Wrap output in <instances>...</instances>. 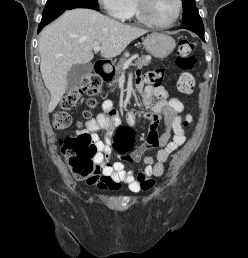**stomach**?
I'll return each instance as SVG.
<instances>
[{"mask_svg":"<svg viewBox=\"0 0 248 258\" xmlns=\"http://www.w3.org/2000/svg\"><path fill=\"white\" fill-rule=\"evenodd\" d=\"M145 50L156 58L167 57L176 47L175 40L164 33H152L144 42Z\"/></svg>","mask_w":248,"mask_h":258,"instance_id":"1","label":"stomach"}]
</instances>
